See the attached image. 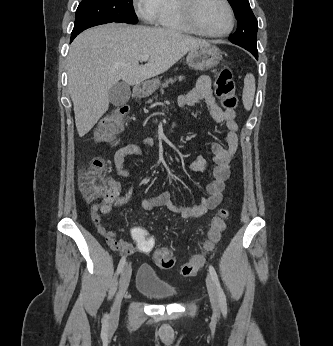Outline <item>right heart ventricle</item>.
<instances>
[{
  "mask_svg": "<svg viewBox=\"0 0 333 346\" xmlns=\"http://www.w3.org/2000/svg\"><path fill=\"white\" fill-rule=\"evenodd\" d=\"M155 23L168 30L186 33L193 32L184 21L177 0H163L161 11Z\"/></svg>",
  "mask_w": 333,
  "mask_h": 346,
  "instance_id": "1",
  "label": "right heart ventricle"
}]
</instances>
